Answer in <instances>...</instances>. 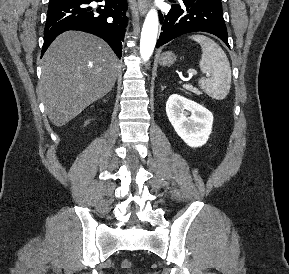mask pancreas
<instances>
[{
  "instance_id": "1",
  "label": "pancreas",
  "mask_w": 289,
  "mask_h": 274,
  "mask_svg": "<svg viewBox=\"0 0 289 274\" xmlns=\"http://www.w3.org/2000/svg\"><path fill=\"white\" fill-rule=\"evenodd\" d=\"M185 89H187V90H189V91H191V92H193V93H195L197 95L201 94L200 91L197 88L192 87L191 85H185Z\"/></svg>"
}]
</instances>
